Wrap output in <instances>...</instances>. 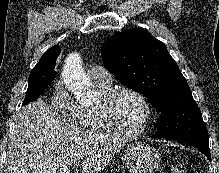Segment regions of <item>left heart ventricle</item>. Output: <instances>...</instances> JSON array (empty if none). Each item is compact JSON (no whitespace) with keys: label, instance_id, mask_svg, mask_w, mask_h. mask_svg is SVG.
I'll use <instances>...</instances> for the list:
<instances>
[{"label":"left heart ventricle","instance_id":"b2bd125f","mask_svg":"<svg viewBox=\"0 0 219 173\" xmlns=\"http://www.w3.org/2000/svg\"><path fill=\"white\" fill-rule=\"evenodd\" d=\"M111 112L116 124L127 131L138 129L145 114L141 101L136 96L128 93L120 95L114 101Z\"/></svg>","mask_w":219,"mask_h":173}]
</instances>
